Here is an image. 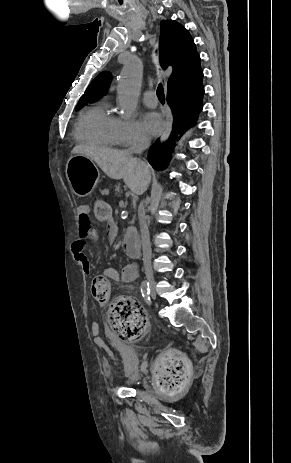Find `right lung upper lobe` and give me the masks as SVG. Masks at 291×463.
<instances>
[{"mask_svg": "<svg viewBox=\"0 0 291 463\" xmlns=\"http://www.w3.org/2000/svg\"><path fill=\"white\" fill-rule=\"evenodd\" d=\"M159 61L163 69L172 66L168 90L186 88L199 79L201 59L189 32L179 23L163 20L160 23ZM111 81L107 72L100 73L81 96L79 103H86L105 95Z\"/></svg>", "mask_w": 291, "mask_h": 463, "instance_id": "right-lung-upper-lobe-1", "label": "right lung upper lobe"}]
</instances>
